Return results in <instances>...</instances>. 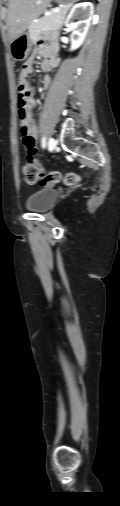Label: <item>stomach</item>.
Returning <instances> with one entry per match:
<instances>
[{
  "mask_svg": "<svg viewBox=\"0 0 120 506\" xmlns=\"http://www.w3.org/2000/svg\"><path fill=\"white\" fill-rule=\"evenodd\" d=\"M55 2L62 4L66 7H70L77 0H54ZM33 39L30 34L24 31L21 35H19L16 39H14L10 44L11 55L15 61H23L25 60L32 48Z\"/></svg>",
  "mask_w": 120,
  "mask_h": 506,
  "instance_id": "1",
  "label": "stomach"
}]
</instances>
